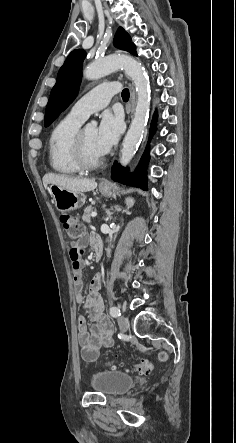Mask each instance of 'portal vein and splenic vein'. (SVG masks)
<instances>
[{
	"mask_svg": "<svg viewBox=\"0 0 236 443\" xmlns=\"http://www.w3.org/2000/svg\"><path fill=\"white\" fill-rule=\"evenodd\" d=\"M91 216H92V217H96V216H97V213H96V212H92V213H91Z\"/></svg>",
	"mask_w": 236,
	"mask_h": 443,
	"instance_id": "18ae733b",
	"label": "portal vein and splenic vein"
}]
</instances>
